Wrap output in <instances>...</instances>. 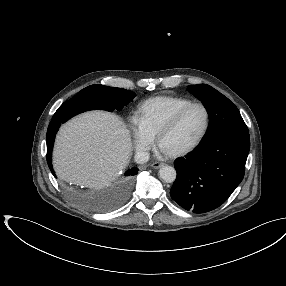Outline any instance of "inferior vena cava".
<instances>
[{"label": "inferior vena cava", "instance_id": "obj_1", "mask_svg": "<svg viewBox=\"0 0 286 286\" xmlns=\"http://www.w3.org/2000/svg\"><path fill=\"white\" fill-rule=\"evenodd\" d=\"M135 161L139 164H144L149 160V153L146 151L139 150L135 154Z\"/></svg>", "mask_w": 286, "mask_h": 286}]
</instances>
